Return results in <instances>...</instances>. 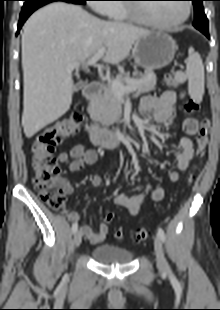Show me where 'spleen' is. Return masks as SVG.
Segmentation results:
<instances>
[{"instance_id": "1", "label": "spleen", "mask_w": 220, "mask_h": 310, "mask_svg": "<svg viewBox=\"0 0 220 310\" xmlns=\"http://www.w3.org/2000/svg\"><path fill=\"white\" fill-rule=\"evenodd\" d=\"M186 62L188 91L193 100L201 102L204 94V66L200 55L193 48L189 49Z\"/></svg>"}]
</instances>
